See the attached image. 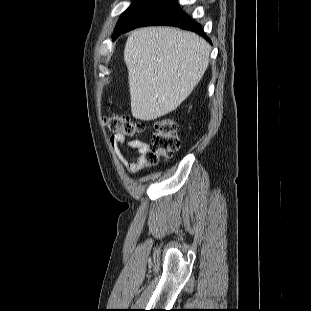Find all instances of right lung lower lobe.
Wrapping results in <instances>:
<instances>
[{
  "instance_id": "1",
  "label": "right lung lower lobe",
  "mask_w": 311,
  "mask_h": 311,
  "mask_svg": "<svg viewBox=\"0 0 311 311\" xmlns=\"http://www.w3.org/2000/svg\"><path fill=\"white\" fill-rule=\"evenodd\" d=\"M152 25L176 26L184 30H190L203 36L210 42L201 25L185 14L179 8L176 0H158L137 15L122 33L138 27Z\"/></svg>"
}]
</instances>
